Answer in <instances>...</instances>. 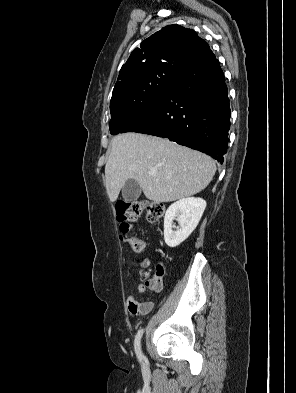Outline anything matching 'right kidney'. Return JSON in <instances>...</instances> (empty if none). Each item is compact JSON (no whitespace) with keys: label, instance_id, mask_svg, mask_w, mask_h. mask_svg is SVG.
Here are the masks:
<instances>
[{"label":"right kidney","instance_id":"1","mask_svg":"<svg viewBox=\"0 0 296 393\" xmlns=\"http://www.w3.org/2000/svg\"><path fill=\"white\" fill-rule=\"evenodd\" d=\"M206 208L202 198L188 197L171 204L164 217V240L174 248L185 241L197 227ZM178 220L180 227L172 230L173 220Z\"/></svg>","mask_w":296,"mask_h":393}]
</instances>
